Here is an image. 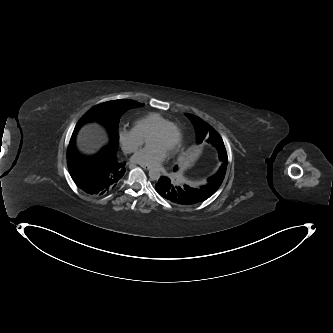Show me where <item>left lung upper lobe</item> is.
<instances>
[{"label": "left lung upper lobe", "instance_id": "5c2ea615", "mask_svg": "<svg viewBox=\"0 0 333 333\" xmlns=\"http://www.w3.org/2000/svg\"><path fill=\"white\" fill-rule=\"evenodd\" d=\"M186 116L192 121L197 133V141L201 143L203 140L209 143H214L217 146H223V152H220V160L222 161V165L219 168L218 172L208 179V183L213 186V188L218 189L224 179L226 168H227V153L223 144L221 137L218 133L207 123L199 119L198 117L186 114ZM177 170L175 167L174 171Z\"/></svg>", "mask_w": 333, "mask_h": 333}]
</instances>
